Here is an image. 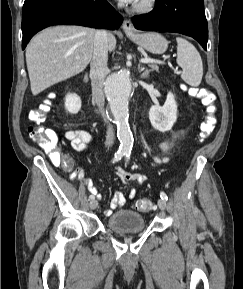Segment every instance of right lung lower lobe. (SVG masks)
Returning a JSON list of instances; mask_svg holds the SVG:
<instances>
[{
	"instance_id": "1",
	"label": "right lung lower lobe",
	"mask_w": 243,
	"mask_h": 289,
	"mask_svg": "<svg viewBox=\"0 0 243 289\" xmlns=\"http://www.w3.org/2000/svg\"><path fill=\"white\" fill-rule=\"evenodd\" d=\"M123 21L107 0H25L22 49L40 30L57 24L117 29Z\"/></svg>"
}]
</instances>
